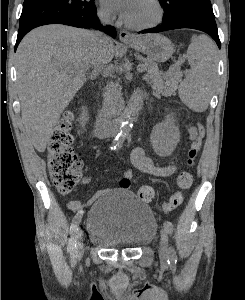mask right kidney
<instances>
[{"label": "right kidney", "instance_id": "ca27d5eb", "mask_svg": "<svg viewBox=\"0 0 245 300\" xmlns=\"http://www.w3.org/2000/svg\"><path fill=\"white\" fill-rule=\"evenodd\" d=\"M87 120H88L87 109L85 107H83L81 118H80V122H81L82 126H84L86 124Z\"/></svg>", "mask_w": 245, "mask_h": 300}]
</instances>
